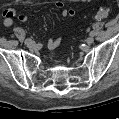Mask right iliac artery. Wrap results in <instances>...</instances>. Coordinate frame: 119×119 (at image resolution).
Segmentation results:
<instances>
[{
  "mask_svg": "<svg viewBox=\"0 0 119 119\" xmlns=\"http://www.w3.org/2000/svg\"><path fill=\"white\" fill-rule=\"evenodd\" d=\"M29 41H31V38H27V39L25 40V44H26L27 42H29Z\"/></svg>",
  "mask_w": 119,
  "mask_h": 119,
  "instance_id": "1",
  "label": "right iliac artery"
}]
</instances>
